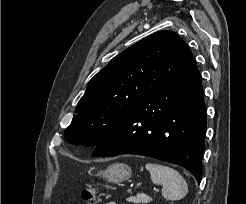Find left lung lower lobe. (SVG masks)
Instances as JSON below:
<instances>
[{"label": "left lung lower lobe", "mask_w": 246, "mask_h": 204, "mask_svg": "<svg viewBox=\"0 0 246 204\" xmlns=\"http://www.w3.org/2000/svg\"><path fill=\"white\" fill-rule=\"evenodd\" d=\"M206 109L201 75L192 60L128 113L96 146L92 157L148 156L202 175Z\"/></svg>", "instance_id": "obj_1"}]
</instances>
